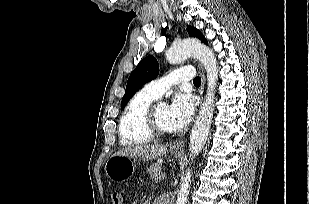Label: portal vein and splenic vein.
<instances>
[{
	"mask_svg": "<svg viewBox=\"0 0 309 204\" xmlns=\"http://www.w3.org/2000/svg\"><path fill=\"white\" fill-rule=\"evenodd\" d=\"M166 176V173L164 172L163 174H162V178H164Z\"/></svg>",
	"mask_w": 309,
	"mask_h": 204,
	"instance_id": "obj_1",
	"label": "portal vein and splenic vein"
}]
</instances>
